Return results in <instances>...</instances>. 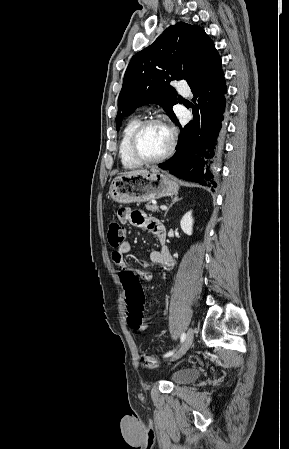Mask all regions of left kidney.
Wrapping results in <instances>:
<instances>
[{
    "mask_svg": "<svg viewBox=\"0 0 289 449\" xmlns=\"http://www.w3.org/2000/svg\"><path fill=\"white\" fill-rule=\"evenodd\" d=\"M193 217L192 211L187 212L180 221V226L183 232L187 235H192L193 232Z\"/></svg>",
    "mask_w": 289,
    "mask_h": 449,
    "instance_id": "1",
    "label": "left kidney"
}]
</instances>
